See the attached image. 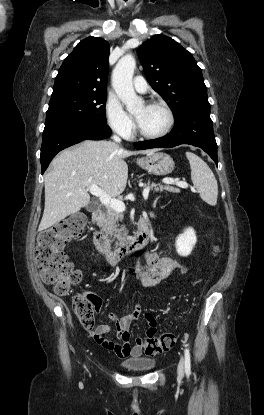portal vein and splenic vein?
<instances>
[{
	"label": "portal vein and splenic vein",
	"instance_id": "1",
	"mask_svg": "<svg viewBox=\"0 0 264 415\" xmlns=\"http://www.w3.org/2000/svg\"><path fill=\"white\" fill-rule=\"evenodd\" d=\"M164 183L166 184H174L180 188H188V184L184 181H179V180H173V179H165L163 180ZM87 190H89V192L91 194H93L94 196L98 197L100 202L108 207L111 208L117 212H123L125 211V204L124 202L111 198L108 194H106L101 188L98 187V185L96 184H87ZM149 191H150V187H146L143 190V198L145 200H147L148 195H149Z\"/></svg>",
	"mask_w": 264,
	"mask_h": 415
}]
</instances>
